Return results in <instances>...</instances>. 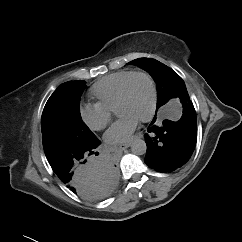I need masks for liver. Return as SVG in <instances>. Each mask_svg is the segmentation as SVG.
<instances>
[{
  "label": "liver",
  "mask_w": 242,
  "mask_h": 242,
  "mask_svg": "<svg viewBox=\"0 0 242 242\" xmlns=\"http://www.w3.org/2000/svg\"><path fill=\"white\" fill-rule=\"evenodd\" d=\"M101 175L102 174L100 173V176L97 179H95V181L91 182L90 184L85 185L82 188V190L80 191V193H78V194H80L88 199H95L96 196H97V198L102 196L104 193V190L106 189L108 182L106 180H101ZM106 195H108V194H106Z\"/></svg>",
  "instance_id": "6515ba94"
}]
</instances>
